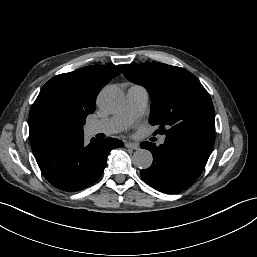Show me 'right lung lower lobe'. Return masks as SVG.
<instances>
[{
  "mask_svg": "<svg viewBox=\"0 0 257 257\" xmlns=\"http://www.w3.org/2000/svg\"><path fill=\"white\" fill-rule=\"evenodd\" d=\"M120 147H123V142L115 138H93L86 145L83 134L66 135L33 153L50 184L64 191L75 192L95 183L106 167L109 152Z\"/></svg>",
  "mask_w": 257,
  "mask_h": 257,
  "instance_id": "1",
  "label": "right lung lower lobe"
}]
</instances>
